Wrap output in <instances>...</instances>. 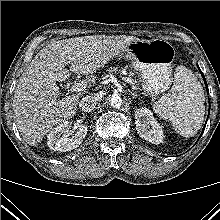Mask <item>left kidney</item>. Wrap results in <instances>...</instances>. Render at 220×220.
<instances>
[{
	"label": "left kidney",
	"instance_id": "1",
	"mask_svg": "<svg viewBox=\"0 0 220 220\" xmlns=\"http://www.w3.org/2000/svg\"><path fill=\"white\" fill-rule=\"evenodd\" d=\"M136 130L141 138L153 144H160L164 134L160 124L154 119L153 113L147 108H139L135 111Z\"/></svg>",
	"mask_w": 220,
	"mask_h": 220
}]
</instances>
